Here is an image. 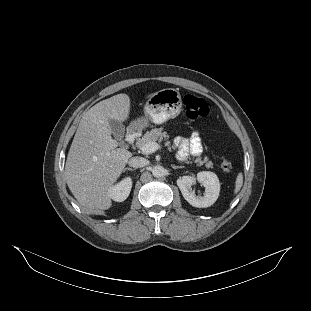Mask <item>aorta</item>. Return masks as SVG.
Segmentation results:
<instances>
[{"mask_svg": "<svg viewBox=\"0 0 311 311\" xmlns=\"http://www.w3.org/2000/svg\"><path fill=\"white\" fill-rule=\"evenodd\" d=\"M152 175L156 178L162 177L165 175V168L160 165H156L152 168Z\"/></svg>", "mask_w": 311, "mask_h": 311, "instance_id": "aorta-1", "label": "aorta"}]
</instances>
